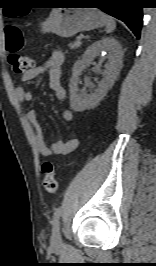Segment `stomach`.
<instances>
[{"label": "stomach", "instance_id": "1", "mask_svg": "<svg viewBox=\"0 0 156 266\" xmlns=\"http://www.w3.org/2000/svg\"><path fill=\"white\" fill-rule=\"evenodd\" d=\"M65 5H75L68 2ZM105 24L104 13L97 9L58 8L42 23V31L62 37H71L80 31H89Z\"/></svg>", "mask_w": 156, "mask_h": 266}]
</instances>
